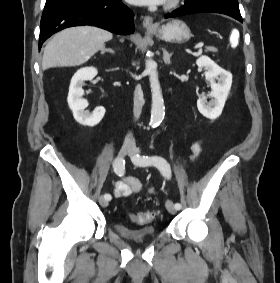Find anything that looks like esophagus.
Returning a JSON list of instances; mask_svg holds the SVG:
<instances>
[{
  "label": "esophagus",
  "mask_w": 280,
  "mask_h": 283,
  "mask_svg": "<svg viewBox=\"0 0 280 283\" xmlns=\"http://www.w3.org/2000/svg\"><path fill=\"white\" fill-rule=\"evenodd\" d=\"M143 26L148 30H155L157 29V25L153 22V18L150 16H146L143 19Z\"/></svg>",
  "instance_id": "34e87169"
}]
</instances>
